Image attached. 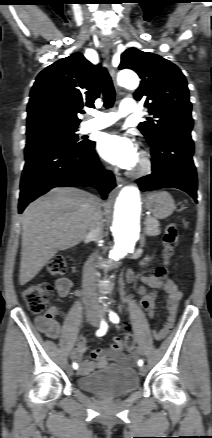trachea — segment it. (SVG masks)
Here are the masks:
<instances>
[{"label":"trachea","instance_id":"trachea-1","mask_svg":"<svg viewBox=\"0 0 212 438\" xmlns=\"http://www.w3.org/2000/svg\"><path fill=\"white\" fill-rule=\"evenodd\" d=\"M102 89H103V101L105 108H111L115 101V89L112 79L106 68L103 69L102 74Z\"/></svg>","mask_w":212,"mask_h":438}]
</instances>
